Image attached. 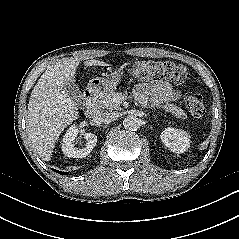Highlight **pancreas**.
I'll return each mask as SVG.
<instances>
[{
  "instance_id": "1",
  "label": "pancreas",
  "mask_w": 239,
  "mask_h": 239,
  "mask_svg": "<svg viewBox=\"0 0 239 239\" xmlns=\"http://www.w3.org/2000/svg\"><path fill=\"white\" fill-rule=\"evenodd\" d=\"M122 96H123L122 93H118L113 90L106 93H102V95L99 98L100 99L99 105L101 108L108 109L109 111L117 110L119 109V104L115 103L114 99L117 97L121 98ZM162 108L165 112L171 113L176 118L180 119L187 118V115L184 113V111L173 103H166L165 105L162 106Z\"/></svg>"
}]
</instances>
